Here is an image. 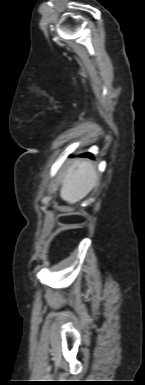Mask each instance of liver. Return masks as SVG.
<instances>
[{
  "label": "liver",
  "instance_id": "1",
  "mask_svg": "<svg viewBox=\"0 0 145 385\" xmlns=\"http://www.w3.org/2000/svg\"><path fill=\"white\" fill-rule=\"evenodd\" d=\"M98 182V173L89 160L77 159L62 180L60 197L74 204L86 197Z\"/></svg>",
  "mask_w": 145,
  "mask_h": 385
}]
</instances>
